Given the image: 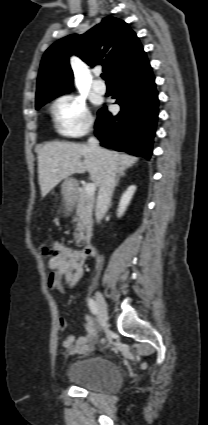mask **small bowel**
<instances>
[{
    "label": "small bowel",
    "instance_id": "c3829d8e",
    "mask_svg": "<svg viewBox=\"0 0 208 425\" xmlns=\"http://www.w3.org/2000/svg\"><path fill=\"white\" fill-rule=\"evenodd\" d=\"M52 248L55 254L48 261L50 274L47 285L51 290L65 292L66 288L74 287L83 276L85 255L59 241L54 242ZM67 325L66 319H59L61 330H65ZM84 328V335H70L63 340L62 346L67 354H85L92 348L97 338V329L89 316L85 317Z\"/></svg>",
    "mask_w": 208,
    "mask_h": 425
}]
</instances>
